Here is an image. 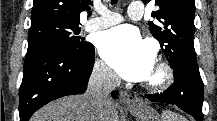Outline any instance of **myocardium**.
<instances>
[{
  "instance_id": "myocardium-1",
  "label": "myocardium",
  "mask_w": 217,
  "mask_h": 121,
  "mask_svg": "<svg viewBox=\"0 0 217 121\" xmlns=\"http://www.w3.org/2000/svg\"><path fill=\"white\" fill-rule=\"evenodd\" d=\"M172 82V67L165 61H159L154 67L153 75L144 81L143 86L146 90L155 92L166 89Z\"/></svg>"
}]
</instances>
